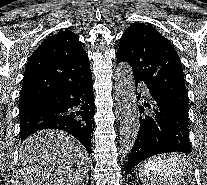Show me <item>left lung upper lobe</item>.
<instances>
[{
    "instance_id": "1",
    "label": "left lung upper lobe",
    "mask_w": 207,
    "mask_h": 185,
    "mask_svg": "<svg viewBox=\"0 0 207 185\" xmlns=\"http://www.w3.org/2000/svg\"><path fill=\"white\" fill-rule=\"evenodd\" d=\"M118 62L126 61L134 79L188 111V94L181 61L173 45L151 26L130 25L120 39Z\"/></svg>"
}]
</instances>
